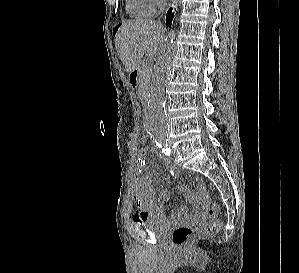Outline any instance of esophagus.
<instances>
[{"label":"esophagus","mask_w":299,"mask_h":273,"mask_svg":"<svg viewBox=\"0 0 299 273\" xmlns=\"http://www.w3.org/2000/svg\"><path fill=\"white\" fill-rule=\"evenodd\" d=\"M177 3H178V0H172V5H173L174 7H176Z\"/></svg>","instance_id":"34e87169"}]
</instances>
